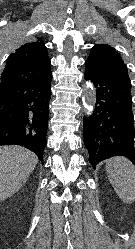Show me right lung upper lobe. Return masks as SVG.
<instances>
[{
    "instance_id": "cb5924a9",
    "label": "right lung upper lobe",
    "mask_w": 135,
    "mask_h": 249,
    "mask_svg": "<svg viewBox=\"0 0 135 249\" xmlns=\"http://www.w3.org/2000/svg\"><path fill=\"white\" fill-rule=\"evenodd\" d=\"M50 66L47 48L37 37L36 41L28 42L10 54L0 86L48 78L52 75Z\"/></svg>"
}]
</instances>
